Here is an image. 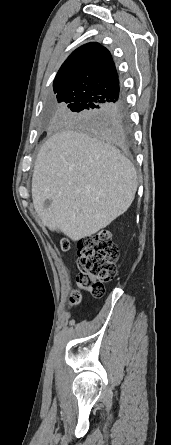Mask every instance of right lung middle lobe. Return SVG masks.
<instances>
[{
	"label": "right lung middle lobe",
	"mask_w": 171,
	"mask_h": 445,
	"mask_svg": "<svg viewBox=\"0 0 171 445\" xmlns=\"http://www.w3.org/2000/svg\"><path fill=\"white\" fill-rule=\"evenodd\" d=\"M57 117L62 122L73 123L103 136L99 115L108 105L100 97L87 92L66 91L57 95Z\"/></svg>",
	"instance_id": "dd1d6c3e"
}]
</instances>
